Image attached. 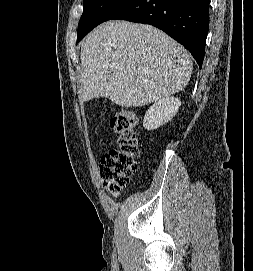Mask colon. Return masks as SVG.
<instances>
[{
    "mask_svg": "<svg viewBox=\"0 0 253 271\" xmlns=\"http://www.w3.org/2000/svg\"><path fill=\"white\" fill-rule=\"evenodd\" d=\"M136 123L135 114L128 110L118 111L111 119L117 147L102 156L99 169L103 186L114 195L129 185L131 176L138 168Z\"/></svg>",
    "mask_w": 253,
    "mask_h": 271,
    "instance_id": "1",
    "label": "colon"
}]
</instances>
